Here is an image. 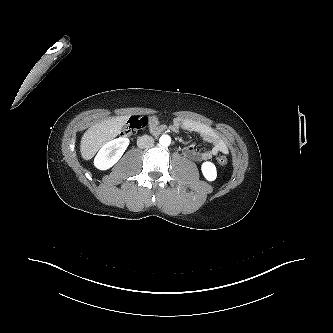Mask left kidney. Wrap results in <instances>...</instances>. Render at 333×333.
<instances>
[{
	"label": "left kidney",
	"mask_w": 333,
	"mask_h": 333,
	"mask_svg": "<svg viewBox=\"0 0 333 333\" xmlns=\"http://www.w3.org/2000/svg\"><path fill=\"white\" fill-rule=\"evenodd\" d=\"M202 173L206 180L214 181L217 177V170L212 162H204L201 166Z\"/></svg>",
	"instance_id": "1"
}]
</instances>
